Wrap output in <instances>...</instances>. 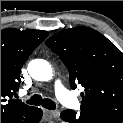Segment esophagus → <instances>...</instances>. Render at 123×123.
Segmentation results:
<instances>
[{"mask_svg": "<svg viewBox=\"0 0 123 123\" xmlns=\"http://www.w3.org/2000/svg\"><path fill=\"white\" fill-rule=\"evenodd\" d=\"M44 113L47 117L58 119L60 117V112L58 110L50 111L44 110Z\"/></svg>", "mask_w": 123, "mask_h": 123, "instance_id": "esophagus-1", "label": "esophagus"}]
</instances>
